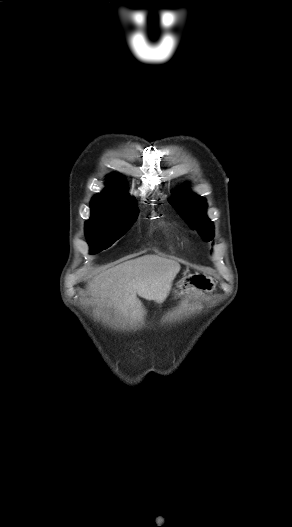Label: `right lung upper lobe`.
<instances>
[{
  "instance_id": "1",
  "label": "right lung upper lobe",
  "mask_w": 292,
  "mask_h": 527,
  "mask_svg": "<svg viewBox=\"0 0 292 527\" xmlns=\"http://www.w3.org/2000/svg\"><path fill=\"white\" fill-rule=\"evenodd\" d=\"M107 186L108 187L103 192L97 194L93 200L115 205L135 206V200L125 191V184L119 175L115 174L111 176L107 181Z\"/></svg>"
}]
</instances>
